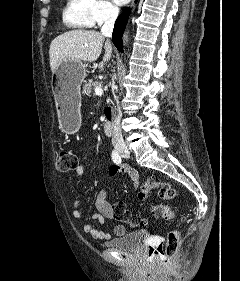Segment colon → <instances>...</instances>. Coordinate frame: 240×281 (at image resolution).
Returning <instances> with one entry per match:
<instances>
[{"label": "colon", "mask_w": 240, "mask_h": 281, "mask_svg": "<svg viewBox=\"0 0 240 281\" xmlns=\"http://www.w3.org/2000/svg\"><path fill=\"white\" fill-rule=\"evenodd\" d=\"M77 165V156L72 150H60L56 161V167L60 172L72 171ZM151 191H156L158 197L163 200H170L176 196V190L169 183L154 179H148L141 186L138 196L141 200H149ZM112 211L113 217L117 220L129 221L134 226H143L146 223L145 218L138 215L132 216L123 203L112 205ZM150 211L157 218L171 220L174 217V211L169 206L163 204H152ZM185 220L186 216H183L182 221ZM180 243V231L172 230L167 234L164 241L157 243L150 249V255L154 257V261L159 267H166L178 252Z\"/></svg>", "instance_id": "5ec220e1"}]
</instances>
